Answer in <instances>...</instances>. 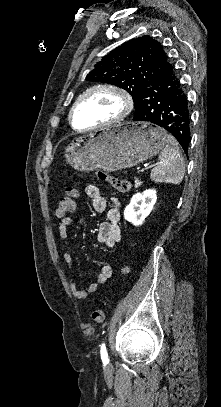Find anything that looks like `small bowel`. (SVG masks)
<instances>
[{"mask_svg":"<svg viewBox=\"0 0 221 407\" xmlns=\"http://www.w3.org/2000/svg\"><path fill=\"white\" fill-rule=\"evenodd\" d=\"M86 195L91 201L92 207L97 212H106L107 221L103 222L98 230L97 240L107 247L114 246L121 239V230L118 226L120 221V202L117 198L106 199L101 189L96 185H88L85 188ZM73 223L72 218L61 219L58 224V235L64 243L69 241L68 227ZM66 267V278L72 288L74 297L83 300L95 293L100 285L105 284L112 276V269L109 265H103L98 273L95 282L87 288H80L72 273L73 257L69 252L63 254ZM85 327V324L82 325Z\"/></svg>","mask_w":221,"mask_h":407,"instance_id":"1","label":"small bowel"}]
</instances>
